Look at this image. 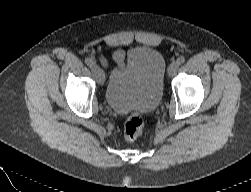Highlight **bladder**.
<instances>
[{
    "label": "bladder",
    "mask_w": 251,
    "mask_h": 192,
    "mask_svg": "<svg viewBox=\"0 0 251 192\" xmlns=\"http://www.w3.org/2000/svg\"><path fill=\"white\" fill-rule=\"evenodd\" d=\"M125 68H114L108 77L105 101L116 113L152 112L161 103L166 62L149 47L132 48Z\"/></svg>",
    "instance_id": "obj_1"
}]
</instances>
